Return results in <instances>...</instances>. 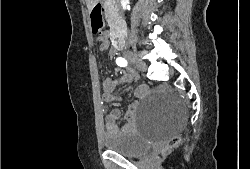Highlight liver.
<instances>
[{
    "instance_id": "obj_1",
    "label": "liver",
    "mask_w": 250,
    "mask_h": 169,
    "mask_svg": "<svg viewBox=\"0 0 250 169\" xmlns=\"http://www.w3.org/2000/svg\"><path fill=\"white\" fill-rule=\"evenodd\" d=\"M98 0H86V4H87V8L89 10V12H91L93 6H95V4H97Z\"/></svg>"
}]
</instances>
